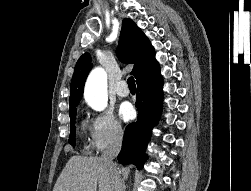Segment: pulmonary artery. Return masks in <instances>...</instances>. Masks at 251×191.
Wrapping results in <instances>:
<instances>
[{
	"label": "pulmonary artery",
	"mask_w": 251,
	"mask_h": 191,
	"mask_svg": "<svg viewBox=\"0 0 251 191\" xmlns=\"http://www.w3.org/2000/svg\"><path fill=\"white\" fill-rule=\"evenodd\" d=\"M115 91H116L117 95H119L121 97H127L129 95V88H128L127 83L125 81H120L117 84Z\"/></svg>",
	"instance_id": "pulmonary-artery-1"
}]
</instances>
